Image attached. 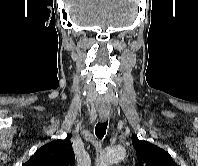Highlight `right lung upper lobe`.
<instances>
[{"mask_svg":"<svg viewBox=\"0 0 198 166\" xmlns=\"http://www.w3.org/2000/svg\"><path fill=\"white\" fill-rule=\"evenodd\" d=\"M75 154L69 137L40 147L22 166H74Z\"/></svg>","mask_w":198,"mask_h":166,"instance_id":"obj_1","label":"right lung upper lobe"}]
</instances>
